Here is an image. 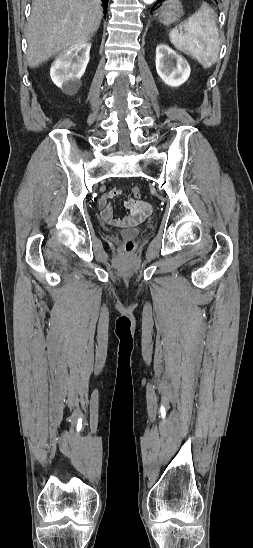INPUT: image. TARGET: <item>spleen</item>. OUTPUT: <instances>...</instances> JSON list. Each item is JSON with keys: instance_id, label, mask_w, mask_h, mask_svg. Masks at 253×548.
<instances>
[{"instance_id": "1", "label": "spleen", "mask_w": 253, "mask_h": 548, "mask_svg": "<svg viewBox=\"0 0 253 548\" xmlns=\"http://www.w3.org/2000/svg\"><path fill=\"white\" fill-rule=\"evenodd\" d=\"M185 33L170 31L171 43L183 53L193 56L204 68L219 57L220 41L214 11L205 3L182 24Z\"/></svg>"}]
</instances>
